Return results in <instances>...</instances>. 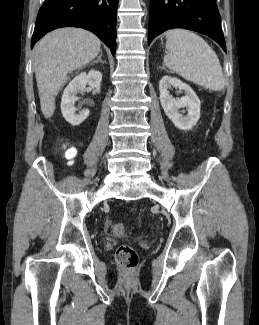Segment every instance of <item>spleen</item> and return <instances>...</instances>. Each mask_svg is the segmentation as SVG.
I'll use <instances>...</instances> for the list:
<instances>
[{"instance_id":"obj_1","label":"spleen","mask_w":259,"mask_h":325,"mask_svg":"<svg viewBox=\"0 0 259 325\" xmlns=\"http://www.w3.org/2000/svg\"><path fill=\"white\" fill-rule=\"evenodd\" d=\"M165 37L164 63L171 71L212 91L224 88L220 61L202 37L185 29L169 30Z\"/></svg>"}]
</instances>
